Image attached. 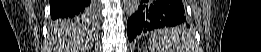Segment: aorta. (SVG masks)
Here are the masks:
<instances>
[{
	"instance_id": "762f6f07",
	"label": "aorta",
	"mask_w": 261,
	"mask_h": 52,
	"mask_svg": "<svg viewBox=\"0 0 261 52\" xmlns=\"http://www.w3.org/2000/svg\"><path fill=\"white\" fill-rule=\"evenodd\" d=\"M124 4V12L127 16L134 15L139 8L140 1L139 0H123Z\"/></svg>"
}]
</instances>
